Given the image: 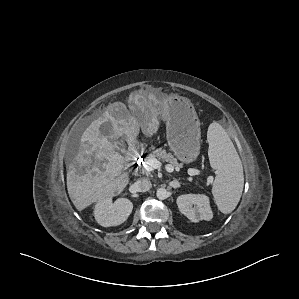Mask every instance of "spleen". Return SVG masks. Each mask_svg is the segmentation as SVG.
Instances as JSON below:
<instances>
[{
    "label": "spleen",
    "instance_id": "1",
    "mask_svg": "<svg viewBox=\"0 0 299 299\" xmlns=\"http://www.w3.org/2000/svg\"><path fill=\"white\" fill-rule=\"evenodd\" d=\"M207 140L210 164L216 170L212 194L218 209L228 214L235 209L242 195V163L229 135L219 123L209 125Z\"/></svg>",
    "mask_w": 299,
    "mask_h": 299
}]
</instances>
